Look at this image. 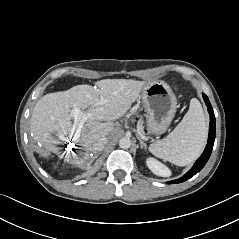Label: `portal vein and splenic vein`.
Here are the masks:
<instances>
[{
    "label": "portal vein and splenic vein",
    "instance_id": "18ae733b",
    "mask_svg": "<svg viewBox=\"0 0 239 239\" xmlns=\"http://www.w3.org/2000/svg\"><path fill=\"white\" fill-rule=\"evenodd\" d=\"M70 116L74 118V125L71 129V133L73 134L75 131L77 133H79L83 124H84V122L87 119L85 113L83 111H81L80 108L75 107L70 111Z\"/></svg>",
    "mask_w": 239,
    "mask_h": 239
}]
</instances>
